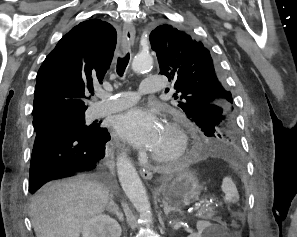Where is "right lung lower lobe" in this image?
<instances>
[{"mask_svg": "<svg viewBox=\"0 0 297 237\" xmlns=\"http://www.w3.org/2000/svg\"><path fill=\"white\" fill-rule=\"evenodd\" d=\"M110 140L106 128L96 125L86 132L67 119L50 117L36 129L30 163L29 192L42 185L82 173L107 178L105 144Z\"/></svg>", "mask_w": 297, "mask_h": 237, "instance_id": "obj_1", "label": "right lung lower lobe"}]
</instances>
